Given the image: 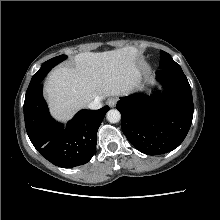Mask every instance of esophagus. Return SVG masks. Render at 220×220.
I'll return each mask as SVG.
<instances>
[{"label": "esophagus", "instance_id": "34e87169", "mask_svg": "<svg viewBox=\"0 0 220 220\" xmlns=\"http://www.w3.org/2000/svg\"><path fill=\"white\" fill-rule=\"evenodd\" d=\"M116 103H117V98L115 97H111L107 100V105L111 108L115 107Z\"/></svg>", "mask_w": 220, "mask_h": 220}]
</instances>
